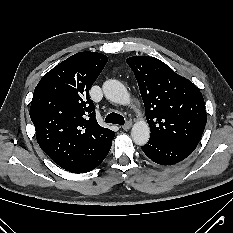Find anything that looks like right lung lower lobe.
Returning <instances> with one entry per match:
<instances>
[{
	"label": "right lung lower lobe",
	"instance_id": "1",
	"mask_svg": "<svg viewBox=\"0 0 233 233\" xmlns=\"http://www.w3.org/2000/svg\"><path fill=\"white\" fill-rule=\"evenodd\" d=\"M110 148H111V145L108 148H106L99 156H97L92 161H90V162L86 163L85 165L80 166L76 169H73L70 172H72V173H86V172L93 170L105 159V157L109 153Z\"/></svg>",
	"mask_w": 233,
	"mask_h": 233
}]
</instances>
